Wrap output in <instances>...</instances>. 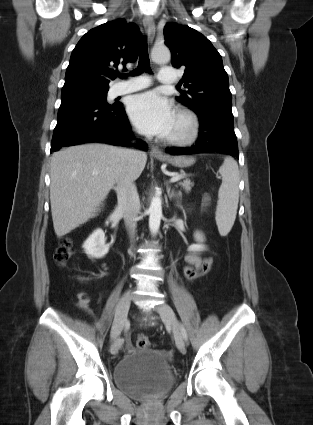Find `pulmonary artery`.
Listing matches in <instances>:
<instances>
[{"instance_id":"pulmonary-artery-1","label":"pulmonary artery","mask_w":313,"mask_h":425,"mask_svg":"<svg viewBox=\"0 0 313 425\" xmlns=\"http://www.w3.org/2000/svg\"><path fill=\"white\" fill-rule=\"evenodd\" d=\"M176 80V71L170 67H163L158 74V81L162 84H172ZM150 85V80L145 75L131 78L126 82L116 83L112 86L113 95H122L144 89Z\"/></svg>"}]
</instances>
